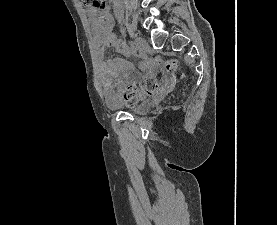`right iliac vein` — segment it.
I'll return each instance as SVG.
<instances>
[{
    "instance_id": "63e3f726",
    "label": "right iliac vein",
    "mask_w": 277,
    "mask_h": 225,
    "mask_svg": "<svg viewBox=\"0 0 277 225\" xmlns=\"http://www.w3.org/2000/svg\"><path fill=\"white\" fill-rule=\"evenodd\" d=\"M134 43L137 46V48L141 54L146 52L148 45H147V42L143 38L136 37Z\"/></svg>"
}]
</instances>
